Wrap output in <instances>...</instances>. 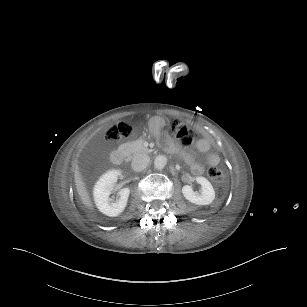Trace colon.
<instances>
[{"label":"colon","mask_w":307,"mask_h":307,"mask_svg":"<svg viewBox=\"0 0 307 307\" xmlns=\"http://www.w3.org/2000/svg\"><path fill=\"white\" fill-rule=\"evenodd\" d=\"M171 131L178 143L184 147L189 146L195 138L194 131L187 123L180 119H174L172 121ZM131 132L132 125L129 122H120L109 129L107 139L111 142H117L130 136ZM208 175L216 183H222L226 179L225 172L217 166L211 167Z\"/></svg>","instance_id":"colon-1"}]
</instances>
